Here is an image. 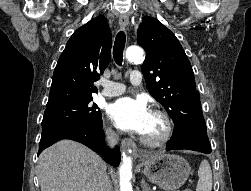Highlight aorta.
Returning <instances> with one entry per match:
<instances>
[{"label":"aorta","instance_id":"1","mask_svg":"<svg viewBox=\"0 0 251 191\" xmlns=\"http://www.w3.org/2000/svg\"><path fill=\"white\" fill-rule=\"evenodd\" d=\"M125 56L128 62L139 64V62L144 60V50L139 48V46H130V48H127ZM119 175L120 191H133L130 181L132 177V157H130V155L123 157L119 169Z\"/></svg>","mask_w":251,"mask_h":191}]
</instances>
